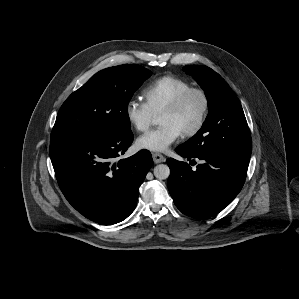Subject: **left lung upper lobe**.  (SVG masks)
I'll return each mask as SVG.
<instances>
[{
	"label": "left lung upper lobe",
	"instance_id": "5c2ea615",
	"mask_svg": "<svg viewBox=\"0 0 299 299\" xmlns=\"http://www.w3.org/2000/svg\"><path fill=\"white\" fill-rule=\"evenodd\" d=\"M183 70L204 90L209 112L202 128L180 146L193 155L250 159V131L242 106L229 85L207 66L187 65Z\"/></svg>",
	"mask_w": 299,
	"mask_h": 299
}]
</instances>
